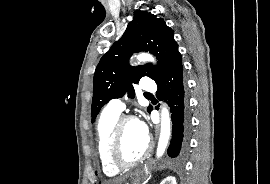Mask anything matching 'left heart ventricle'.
<instances>
[{
  "mask_svg": "<svg viewBox=\"0 0 270 184\" xmlns=\"http://www.w3.org/2000/svg\"><path fill=\"white\" fill-rule=\"evenodd\" d=\"M148 137L143 134L138 121L126 123L123 129L121 157L131 161L139 158L145 151Z\"/></svg>",
  "mask_w": 270,
  "mask_h": 184,
  "instance_id": "left-heart-ventricle-1",
  "label": "left heart ventricle"
}]
</instances>
